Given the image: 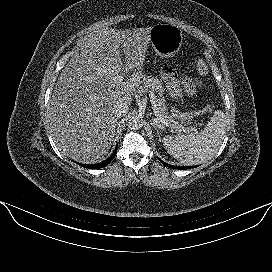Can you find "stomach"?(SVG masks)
I'll use <instances>...</instances> for the list:
<instances>
[{
  "label": "stomach",
  "mask_w": 272,
  "mask_h": 272,
  "mask_svg": "<svg viewBox=\"0 0 272 272\" xmlns=\"http://www.w3.org/2000/svg\"><path fill=\"white\" fill-rule=\"evenodd\" d=\"M150 44L160 58L175 56L182 45L183 34L171 24H156L151 28Z\"/></svg>",
  "instance_id": "obj_1"
}]
</instances>
